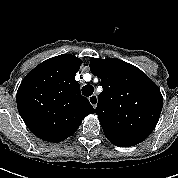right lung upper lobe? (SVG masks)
<instances>
[{
    "label": "right lung upper lobe",
    "mask_w": 178,
    "mask_h": 178,
    "mask_svg": "<svg viewBox=\"0 0 178 178\" xmlns=\"http://www.w3.org/2000/svg\"><path fill=\"white\" fill-rule=\"evenodd\" d=\"M81 63L73 55L62 54L40 63L21 82L16 96L18 111L40 139L62 141L95 112L75 80Z\"/></svg>",
    "instance_id": "obj_1"
}]
</instances>
